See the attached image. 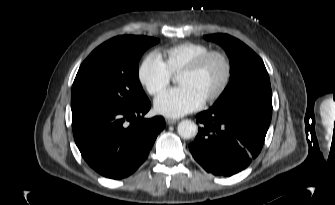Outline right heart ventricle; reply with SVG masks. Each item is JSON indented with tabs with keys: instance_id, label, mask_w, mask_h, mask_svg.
Returning a JSON list of instances; mask_svg holds the SVG:
<instances>
[{
	"instance_id": "obj_1",
	"label": "right heart ventricle",
	"mask_w": 335,
	"mask_h": 205,
	"mask_svg": "<svg viewBox=\"0 0 335 205\" xmlns=\"http://www.w3.org/2000/svg\"><path fill=\"white\" fill-rule=\"evenodd\" d=\"M209 51L211 49L205 44L183 42L164 49L161 57L170 73L176 75Z\"/></svg>"
}]
</instances>
